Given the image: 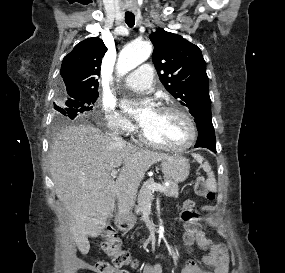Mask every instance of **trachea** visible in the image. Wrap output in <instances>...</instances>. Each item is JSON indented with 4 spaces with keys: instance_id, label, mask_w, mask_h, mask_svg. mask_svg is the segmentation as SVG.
I'll list each match as a JSON object with an SVG mask.
<instances>
[{
    "instance_id": "obj_1",
    "label": "trachea",
    "mask_w": 285,
    "mask_h": 273,
    "mask_svg": "<svg viewBox=\"0 0 285 273\" xmlns=\"http://www.w3.org/2000/svg\"><path fill=\"white\" fill-rule=\"evenodd\" d=\"M125 22L127 23V25L131 28L134 26L135 24V16L133 13L131 12H126L125 13Z\"/></svg>"
}]
</instances>
